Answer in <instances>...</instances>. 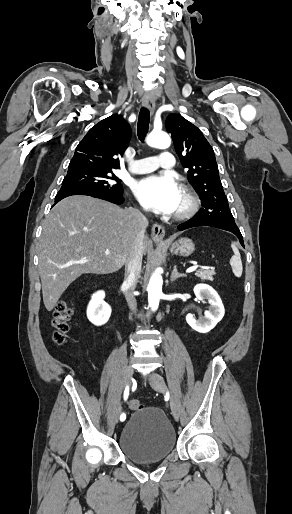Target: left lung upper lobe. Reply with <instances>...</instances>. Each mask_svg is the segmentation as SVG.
Wrapping results in <instances>:
<instances>
[{
	"mask_svg": "<svg viewBox=\"0 0 292 514\" xmlns=\"http://www.w3.org/2000/svg\"><path fill=\"white\" fill-rule=\"evenodd\" d=\"M166 129L171 133L177 155L188 168V181L201 199L198 220H213L237 226L219 178L213 148L202 132L179 114H170Z\"/></svg>",
	"mask_w": 292,
	"mask_h": 514,
	"instance_id": "left-lung-upper-lobe-1",
	"label": "left lung upper lobe"
}]
</instances>
